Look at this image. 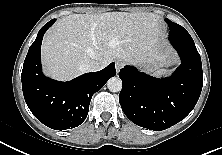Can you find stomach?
Instances as JSON below:
<instances>
[{
  "mask_svg": "<svg viewBox=\"0 0 222 155\" xmlns=\"http://www.w3.org/2000/svg\"><path fill=\"white\" fill-rule=\"evenodd\" d=\"M173 61H174V56L171 52L159 51L155 57H153L149 61H145L143 65L150 71H153L171 65Z\"/></svg>",
  "mask_w": 222,
  "mask_h": 155,
  "instance_id": "0dacf381",
  "label": "stomach"
}]
</instances>
